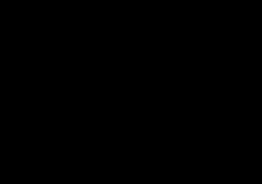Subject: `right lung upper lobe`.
I'll return each instance as SVG.
<instances>
[{"label":"right lung upper lobe","instance_id":"cb5924a9","mask_svg":"<svg viewBox=\"0 0 262 184\" xmlns=\"http://www.w3.org/2000/svg\"><path fill=\"white\" fill-rule=\"evenodd\" d=\"M114 26L103 20H88L67 33L59 42L58 50L82 41H95L114 30Z\"/></svg>","mask_w":262,"mask_h":184}]
</instances>
